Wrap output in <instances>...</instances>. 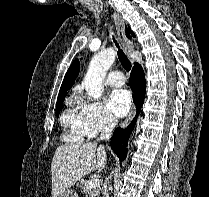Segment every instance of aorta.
Masks as SVG:
<instances>
[{
    "mask_svg": "<svg viewBox=\"0 0 209 197\" xmlns=\"http://www.w3.org/2000/svg\"><path fill=\"white\" fill-rule=\"evenodd\" d=\"M116 51L109 48L93 56L90 61L88 71L83 80V85L88 96L92 99H98L103 93L102 82L111 65L114 63Z\"/></svg>",
    "mask_w": 209,
    "mask_h": 197,
    "instance_id": "aorta-1",
    "label": "aorta"
}]
</instances>
